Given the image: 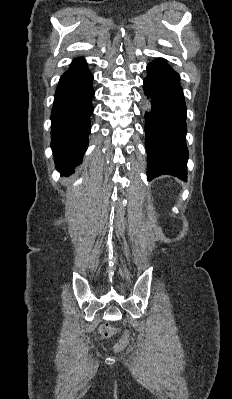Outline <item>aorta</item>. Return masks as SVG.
<instances>
[{"label":"aorta","mask_w":232,"mask_h":399,"mask_svg":"<svg viewBox=\"0 0 232 399\" xmlns=\"http://www.w3.org/2000/svg\"><path fill=\"white\" fill-rule=\"evenodd\" d=\"M145 106H146V110H148V111H149V110L151 109V103H150V100H147V101H146V105H145Z\"/></svg>","instance_id":"aorta-1"}]
</instances>
